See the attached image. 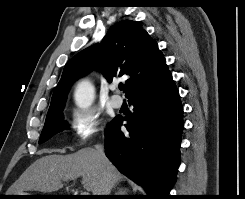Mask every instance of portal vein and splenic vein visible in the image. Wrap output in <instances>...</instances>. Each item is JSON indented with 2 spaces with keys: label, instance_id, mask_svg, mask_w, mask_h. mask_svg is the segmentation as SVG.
I'll return each instance as SVG.
<instances>
[{
  "label": "portal vein and splenic vein",
  "instance_id": "18ae733b",
  "mask_svg": "<svg viewBox=\"0 0 245 199\" xmlns=\"http://www.w3.org/2000/svg\"><path fill=\"white\" fill-rule=\"evenodd\" d=\"M83 195H88V193H83Z\"/></svg>",
  "mask_w": 245,
  "mask_h": 199
}]
</instances>
